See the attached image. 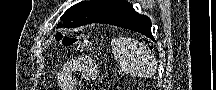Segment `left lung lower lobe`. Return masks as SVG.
<instances>
[{"instance_id":"obj_1","label":"left lung lower lobe","mask_w":216,"mask_h":90,"mask_svg":"<svg viewBox=\"0 0 216 90\" xmlns=\"http://www.w3.org/2000/svg\"><path fill=\"white\" fill-rule=\"evenodd\" d=\"M94 23H105L127 28L146 35L150 39L154 40L151 33L150 19L145 15L137 13L129 3L113 10Z\"/></svg>"}]
</instances>
